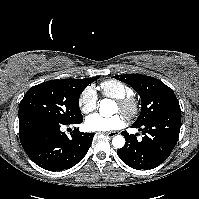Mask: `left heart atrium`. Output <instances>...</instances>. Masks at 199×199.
<instances>
[{
  "label": "left heart atrium",
  "instance_id": "1",
  "mask_svg": "<svg viewBox=\"0 0 199 199\" xmlns=\"http://www.w3.org/2000/svg\"><path fill=\"white\" fill-rule=\"evenodd\" d=\"M85 124L91 131H110L121 128L124 125V119L119 114L104 117L96 113L88 116Z\"/></svg>",
  "mask_w": 199,
  "mask_h": 199
}]
</instances>
